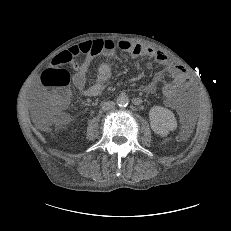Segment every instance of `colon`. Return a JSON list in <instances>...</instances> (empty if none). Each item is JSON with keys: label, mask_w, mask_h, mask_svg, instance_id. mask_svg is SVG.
I'll return each mask as SVG.
<instances>
[{"label": "colon", "mask_w": 231, "mask_h": 231, "mask_svg": "<svg viewBox=\"0 0 231 231\" xmlns=\"http://www.w3.org/2000/svg\"><path fill=\"white\" fill-rule=\"evenodd\" d=\"M63 61L61 55L54 59V65H60ZM42 83L45 87V96L48 102L47 108L42 112L46 126H60L66 120L65 108L70 101V74L62 68H50L42 74ZM162 93L173 99L178 94V88L172 81H165L161 85Z\"/></svg>", "instance_id": "5ec220e1"}]
</instances>
